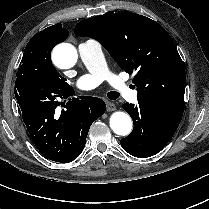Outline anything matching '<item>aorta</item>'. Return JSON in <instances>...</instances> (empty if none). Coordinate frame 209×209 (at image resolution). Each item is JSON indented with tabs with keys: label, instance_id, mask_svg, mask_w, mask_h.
Wrapping results in <instances>:
<instances>
[{
	"label": "aorta",
	"instance_id": "aorta-1",
	"mask_svg": "<svg viewBox=\"0 0 209 209\" xmlns=\"http://www.w3.org/2000/svg\"><path fill=\"white\" fill-rule=\"evenodd\" d=\"M53 61L62 69L72 67L77 61V51L69 43H62L53 50ZM110 127L113 132L120 136H127L132 130V120L130 116L122 111L114 112L110 117Z\"/></svg>",
	"mask_w": 209,
	"mask_h": 209
}]
</instances>
